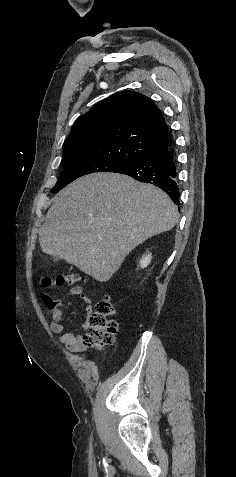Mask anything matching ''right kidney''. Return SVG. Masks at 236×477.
<instances>
[{
    "instance_id": "obj_1",
    "label": "right kidney",
    "mask_w": 236,
    "mask_h": 477,
    "mask_svg": "<svg viewBox=\"0 0 236 477\" xmlns=\"http://www.w3.org/2000/svg\"><path fill=\"white\" fill-rule=\"evenodd\" d=\"M151 254H147L145 255L144 257H142V259L140 260V267L141 268H145L149 265V263L151 262Z\"/></svg>"
}]
</instances>
